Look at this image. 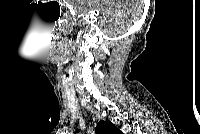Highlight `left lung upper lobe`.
<instances>
[{
  "label": "left lung upper lobe",
  "mask_w": 200,
  "mask_h": 134,
  "mask_svg": "<svg viewBox=\"0 0 200 134\" xmlns=\"http://www.w3.org/2000/svg\"><path fill=\"white\" fill-rule=\"evenodd\" d=\"M97 134H122V132L111 122L100 121L96 127Z\"/></svg>",
  "instance_id": "5c2ea615"
}]
</instances>
